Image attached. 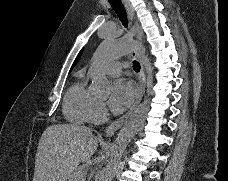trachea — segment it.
<instances>
[{
    "label": "trachea",
    "instance_id": "1",
    "mask_svg": "<svg viewBox=\"0 0 228 181\" xmlns=\"http://www.w3.org/2000/svg\"><path fill=\"white\" fill-rule=\"evenodd\" d=\"M110 5L112 6L113 10H115V13L119 17L122 25L127 28L128 26V18L125 8L123 7V4L121 0H109ZM133 69L136 72L140 71V64L138 61H133Z\"/></svg>",
    "mask_w": 228,
    "mask_h": 181
}]
</instances>
